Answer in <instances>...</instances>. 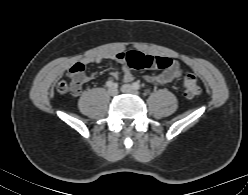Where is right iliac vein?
<instances>
[{"label": "right iliac vein", "mask_w": 248, "mask_h": 195, "mask_svg": "<svg viewBox=\"0 0 248 195\" xmlns=\"http://www.w3.org/2000/svg\"><path fill=\"white\" fill-rule=\"evenodd\" d=\"M108 94L110 96H116L118 94V90L115 87H111L108 89Z\"/></svg>", "instance_id": "right-iliac-vein-1"}]
</instances>
